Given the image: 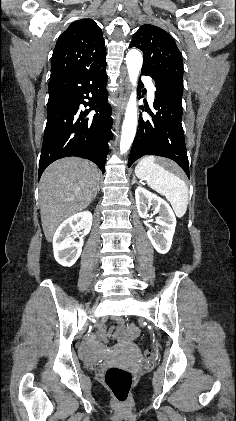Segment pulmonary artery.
Returning <instances> with one entry per match:
<instances>
[{
    "mask_svg": "<svg viewBox=\"0 0 236 421\" xmlns=\"http://www.w3.org/2000/svg\"><path fill=\"white\" fill-rule=\"evenodd\" d=\"M143 83L144 84H149L150 83V80L149 79H144L143 80ZM148 100H149L150 103H153V101H154V87L153 86H150L148 88Z\"/></svg>",
    "mask_w": 236,
    "mask_h": 421,
    "instance_id": "pulmonary-artery-1",
    "label": "pulmonary artery"
}]
</instances>
